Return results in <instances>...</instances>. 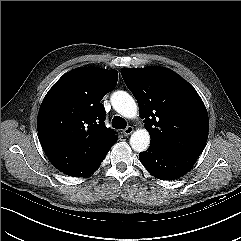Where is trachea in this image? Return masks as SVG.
I'll return each instance as SVG.
<instances>
[{
    "label": "trachea",
    "mask_w": 241,
    "mask_h": 241,
    "mask_svg": "<svg viewBox=\"0 0 241 241\" xmlns=\"http://www.w3.org/2000/svg\"><path fill=\"white\" fill-rule=\"evenodd\" d=\"M126 125H127V123H126L125 119H123L120 116H115L112 119V127L113 128L124 129V128H126Z\"/></svg>",
    "instance_id": "obj_1"
}]
</instances>
